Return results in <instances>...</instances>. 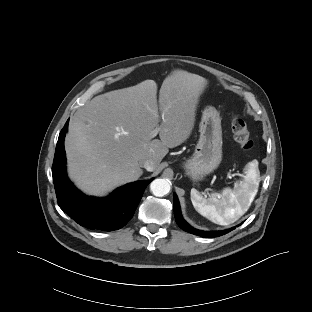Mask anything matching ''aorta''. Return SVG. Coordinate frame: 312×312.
<instances>
[{"instance_id": "obj_1", "label": "aorta", "mask_w": 312, "mask_h": 312, "mask_svg": "<svg viewBox=\"0 0 312 312\" xmlns=\"http://www.w3.org/2000/svg\"><path fill=\"white\" fill-rule=\"evenodd\" d=\"M150 190L153 195L162 197L170 192V184L166 179H155L150 184Z\"/></svg>"}]
</instances>
